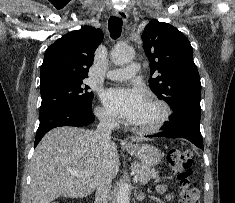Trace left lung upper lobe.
I'll use <instances>...</instances> for the list:
<instances>
[{"instance_id": "obj_1", "label": "left lung upper lobe", "mask_w": 235, "mask_h": 203, "mask_svg": "<svg viewBox=\"0 0 235 203\" xmlns=\"http://www.w3.org/2000/svg\"><path fill=\"white\" fill-rule=\"evenodd\" d=\"M149 58L151 90L165 100L177 116L186 111L201 113V83L193 61V49L186 36L168 23L150 21L142 34Z\"/></svg>"}]
</instances>
